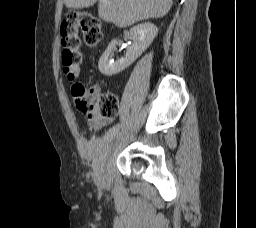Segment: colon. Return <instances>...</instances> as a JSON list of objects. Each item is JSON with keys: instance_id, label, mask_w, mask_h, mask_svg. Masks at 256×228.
Instances as JSON below:
<instances>
[{"instance_id": "colon-1", "label": "colon", "mask_w": 256, "mask_h": 228, "mask_svg": "<svg viewBox=\"0 0 256 228\" xmlns=\"http://www.w3.org/2000/svg\"><path fill=\"white\" fill-rule=\"evenodd\" d=\"M80 32L90 48L95 47L103 38L101 22L92 13L72 11L67 14L61 24L60 33L64 47L63 71L71 80L78 76L82 62ZM72 95L76 107L89 119H112L118 113V98L112 92L99 94L81 83H76L72 87Z\"/></svg>"}]
</instances>
